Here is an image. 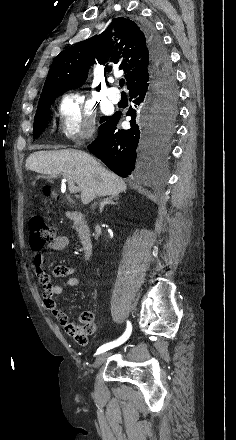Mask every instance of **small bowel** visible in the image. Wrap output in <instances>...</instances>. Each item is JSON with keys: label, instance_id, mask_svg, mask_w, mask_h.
Returning a JSON list of instances; mask_svg holds the SVG:
<instances>
[{"label": "small bowel", "instance_id": "1", "mask_svg": "<svg viewBox=\"0 0 236 440\" xmlns=\"http://www.w3.org/2000/svg\"><path fill=\"white\" fill-rule=\"evenodd\" d=\"M70 244V238L67 235L56 236L47 246L51 251H62ZM44 250H36L33 257L35 274L39 283L43 287L42 302L44 307L50 311L63 326L66 333L72 336L79 345H87L89 337L93 334L95 323L93 321V313L85 310L81 313L79 322L69 321L67 315L61 311L57 305L54 296L62 294L65 289L77 287L80 284L78 277L72 276L74 270L68 265H58L53 270V276L56 278L67 277L60 284L53 283L51 277L44 271Z\"/></svg>", "mask_w": 236, "mask_h": 440}]
</instances>
